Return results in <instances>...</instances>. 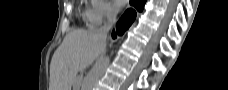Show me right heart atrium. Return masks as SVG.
<instances>
[{
    "label": "right heart atrium",
    "instance_id": "1",
    "mask_svg": "<svg viewBox=\"0 0 228 90\" xmlns=\"http://www.w3.org/2000/svg\"><path fill=\"white\" fill-rule=\"evenodd\" d=\"M115 8L107 0H93L89 10V20L94 24H101L115 14Z\"/></svg>",
    "mask_w": 228,
    "mask_h": 90
}]
</instances>
